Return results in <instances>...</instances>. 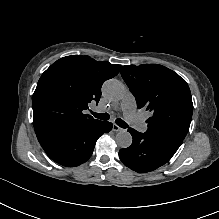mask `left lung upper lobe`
Here are the masks:
<instances>
[{
	"label": "left lung upper lobe",
	"mask_w": 219,
	"mask_h": 219,
	"mask_svg": "<svg viewBox=\"0 0 219 219\" xmlns=\"http://www.w3.org/2000/svg\"><path fill=\"white\" fill-rule=\"evenodd\" d=\"M121 75L137 101L151 112L145 132L153 142L176 152L188 133L193 103L186 81L158 64L123 66Z\"/></svg>",
	"instance_id": "5c2ea615"
}]
</instances>
